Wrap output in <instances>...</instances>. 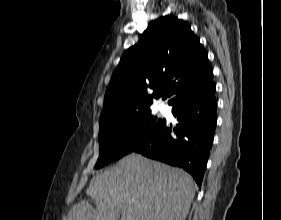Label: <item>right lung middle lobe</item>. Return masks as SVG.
Here are the masks:
<instances>
[{
    "instance_id": "obj_1",
    "label": "right lung middle lobe",
    "mask_w": 281,
    "mask_h": 220,
    "mask_svg": "<svg viewBox=\"0 0 281 220\" xmlns=\"http://www.w3.org/2000/svg\"><path fill=\"white\" fill-rule=\"evenodd\" d=\"M165 120L152 114L150 108L137 111L100 127V153L95 168L131 153L155 135Z\"/></svg>"
}]
</instances>
